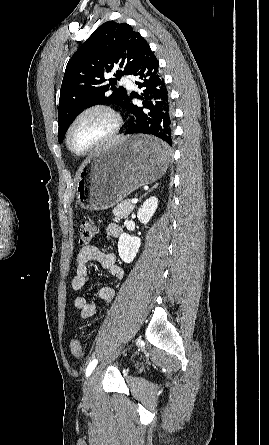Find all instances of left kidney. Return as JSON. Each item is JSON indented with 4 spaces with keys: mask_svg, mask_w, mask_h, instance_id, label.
Instances as JSON below:
<instances>
[{
    "mask_svg": "<svg viewBox=\"0 0 269 445\" xmlns=\"http://www.w3.org/2000/svg\"><path fill=\"white\" fill-rule=\"evenodd\" d=\"M158 207V199L155 196L148 198L137 212V218L142 224H147ZM141 245L138 237L121 234L118 241V253L122 261L131 263L136 257Z\"/></svg>",
    "mask_w": 269,
    "mask_h": 445,
    "instance_id": "1",
    "label": "left kidney"
}]
</instances>
